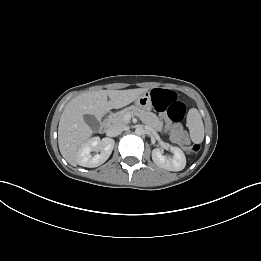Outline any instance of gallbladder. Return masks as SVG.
<instances>
[{
  "label": "gallbladder",
  "instance_id": "gallbladder-1",
  "mask_svg": "<svg viewBox=\"0 0 261 261\" xmlns=\"http://www.w3.org/2000/svg\"><path fill=\"white\" fill-rule=\"evenodd\" d=\"M84 120L93 131H97L99 129L100 123L94 115H85Z\"/></svg>",
  "mask_w": 261,
  "mask_h": 261
}]
</instances>
